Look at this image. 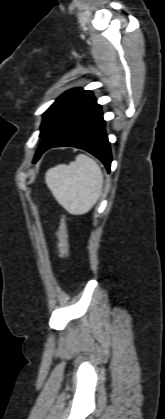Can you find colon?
I'll list each match as a JSON object with an SVG mask.
<instances>
[{
    "label": "colon",
    "mask_w": 165,
    "mask_h": 419,
    "mask_svg": "<svg viewBox=\"0 0 165 419\" xmlns=\"http://www.w3.org/2000/svg\"><path fill=\"white\" fill-rule=\"evenodd\" d=\"M57 237L59 241V249L61 256L68 261L70 257V242H69V233L68 227L64 220L61 221Z\"/></svg>",
    "instance_id": "5ec220e1"
}]
</instances>
